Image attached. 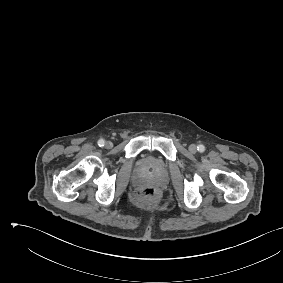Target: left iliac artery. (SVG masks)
Masks as SVG:
<instances>
[{
    "mask_svg": "<svg viewBox=\"0 0 283 283\" xmlns=\"http://www.w3.org/2000/svg\"><path fill=\"white\" fill-rule=\"evenodd\" d=\"M197 149H198L199 152H204L205 151L204 145H198Z\"/></svg>",
    "mask_w": 283,
    "mask_h": 283,
    "instance_id": "44dca946",
    "label": "left iliac artery"
}]
</instances>
